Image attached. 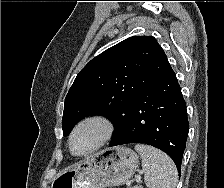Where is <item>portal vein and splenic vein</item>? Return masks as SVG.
I'll return each mask as SVG.
<instances>
[{"mask_svg": "<svg viewBox=\"0 0 224 188\" xmlns=\"http://www.w3.org/2000/svg\"><path fill=\"white\" fill-rule=\"evenodd\" d=\"M136 181L137 182L141 181V177L140 176L136 177ZM130 185H131V182H128L127 183V186H130Z\"/></svg>", "mask_w": 224, "mask_h": 188, "instance_id": "1", "label": "portal vein and splenic vein"}]
</instances>
